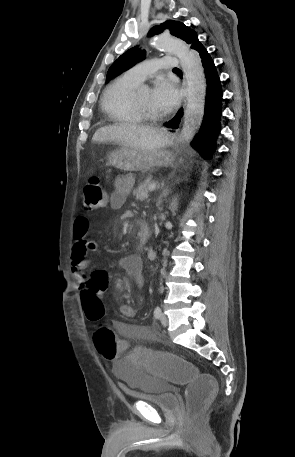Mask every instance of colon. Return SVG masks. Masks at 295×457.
Masks as SVG:
<instances>
[{"mask_svg":"<svg viewBox=\"0 0 295 457\" xmlns=\"http://www.w3.org/2000/svg\"><path fill=\"white\" fill-rule=\"evenodd\" d=\"M106 195L98 176H91L84 185L82 210L92 212L103 208ZM110 289V278L105 272L94 271L87 276V283L82 289V302L86 317L98 322L94 330V344L97 354L103 355V360L120 362L131 360L132 366H141L143 372H161L162 378H168V383H183L186 409L189 418L197 416L216 390V375L204 374L196 363H187L186 357H178L177 351H160L159 346H137L136 351H130L126 341H116L120 337L104 322V306L101 303L102 290ZM127 355V356H126ZM187 378H192L187 381Z\"/></svg>","mask_w":295,"mask_h":457,"instance_id":"obj_1","label":"colon"}]
</instances>
